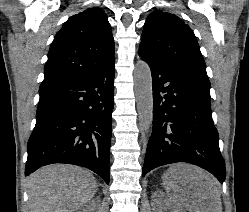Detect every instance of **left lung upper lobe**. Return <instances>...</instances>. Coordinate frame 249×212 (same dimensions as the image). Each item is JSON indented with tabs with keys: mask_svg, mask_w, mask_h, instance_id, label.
<instances>
[{
	"mask_svg": "<svg viewBox=\"0 0 249 212\" xmlns=\"http://www.w3.org/2000/svg\"><path fill=\"white\" fill-rule=\"evenodd\" d=\"M140 57L159 60L208 79L206 65L193 31L174 14L154 11L143 27Z\"/></svg>",
	"mask_w": 249,
	"mask_h": 212,
	"instance_id": "1",
	"label": "left lung upper lobe"
}]
</instances>
